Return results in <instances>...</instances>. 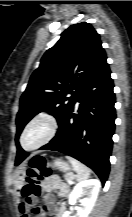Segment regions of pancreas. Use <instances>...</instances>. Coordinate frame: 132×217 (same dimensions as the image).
I'll return each instance as SVG.
<instances>
[{"label":"pancreas","mask_w":132,"mask_h":217,"mask_svg":"<svg viewBox=\"0 0 132 217\" xmlns=\"http://www.w3.org/2000/svg\"><path fill=\"white\" fill-rule=\"evenodd\" d=\"M65 180L68 182L69 180H73L74 179V175L73 174H66L65 176Z\"/></svg>","instance_id":"pancreas-1"}]
</instances>
